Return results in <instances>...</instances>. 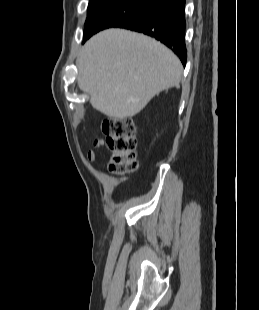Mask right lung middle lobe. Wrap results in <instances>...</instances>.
<instances>
[{
	"mask_svg": "<svg viewBox=\"0 0 259 310\" xmlns=\"http://www.w3.org/2000/svg\"><path fill=\"white\" fill-rule=\"evenodd\" d=\"M158 0H108L88 7L84 41L95 33L115 27L130 16L154 5Z\"/></svg>",
	"mask_w": 259,
	"mask_h": 310,
	"instance_id": "obj_1",
	"label": "right lung middle lobe"
}]
</instances>
